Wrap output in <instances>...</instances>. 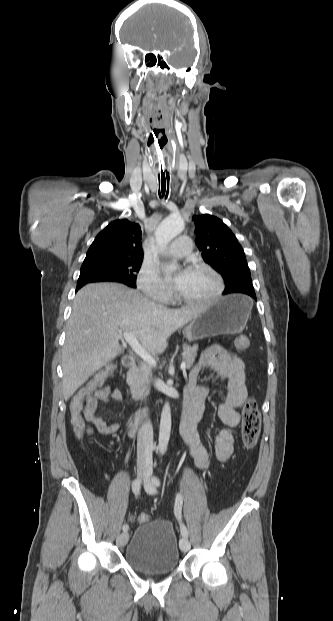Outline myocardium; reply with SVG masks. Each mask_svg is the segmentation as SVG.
<instances>
[{
	"label": "myocardium",
	"mask_w": 333,
	"mask_h": 621,
	"mask_svg": "<svg viewBox=\"0 0 333 621\" xmlns=\"http://www.w3.org/2000/svg\"><path fill=\"white\" fill-rule=\"evenodd\" d=\"M190 270H193V271H205V272L211 274L214 277V279H215V281L217 283V289L210 297H207V298H204V299H191V298H187V297L181 295L178 292V290H175V299L178 302L183 303V304H188V305H207V304H211V303L215 302L216 300H218L222 296V294L224 292V289H225V285H224V281H223L222 276L220 275V273L216 269H214L212 266H210V265H208L206 263L197 262V263H193L190 266Z\"/></svg>",
	"instance_id": "1"
}]
</instances>
